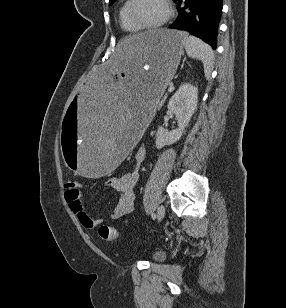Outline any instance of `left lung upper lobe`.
<instances>
[{
    "label": "left lung upper lobe",
    "mask_w": 286,
    "mask_h": 308,
    "mask_svg": "<svg viewBox=\"0 0 286 308\" xmlns=\"http://www.w3.org/2000/svg\"><path fill=\"white\" fill-rule=\"evenodd\" d=\"M116 0H110L109 5L113 4Z\"/></svg>",
    "instance_id": "5c2ea615"
}]
</instances>
